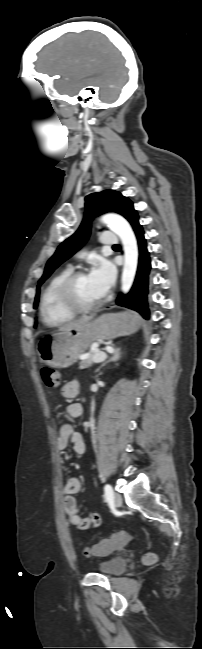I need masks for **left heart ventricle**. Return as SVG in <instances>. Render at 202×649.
<instances>
[{
  "instance_id": "1",
  "label": "left heart ventricle",
  "mask_w": 202,
  "mask_h": 649,
  "mask_svg": "<svg viewBox=\"0 0 202 649\" xmlns=\"http://www.w3.org/2000/svg\"><path fill=\"white\" fill-rule=\"evenodd\" d=\"M76 296L84 304L93 303L103 297L93 284L90 282L88 275L81 277L76 285Z\"/></svg>"
}]
</instances>
